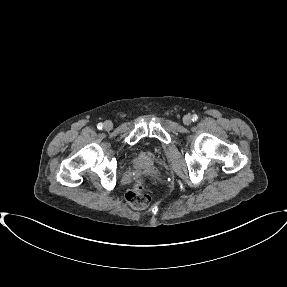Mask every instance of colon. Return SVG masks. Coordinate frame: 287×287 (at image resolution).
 Here are the masks:
<instances>
[{
  "instance_id": "colon-1",
  "label": "colon",
  "mask_w": 287,
  "mask_h": 287,
  "mask_svg": "<svg viewBox=\"0 0 287 287\" xmlns=\"http://www.w3.org/2000/svg\"><path fill=\"white\" fill-rule=\"evenodd\" d=\"M125 199L134 209L141 210L148 207L151 199L145 193V180L143 178H139L134 182L133 186L126 192Z\"/></svg>"
}]
</instances>
